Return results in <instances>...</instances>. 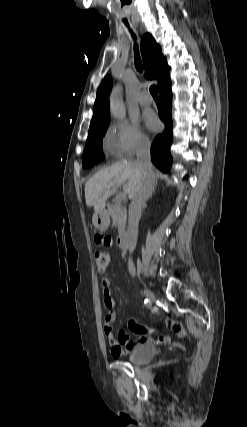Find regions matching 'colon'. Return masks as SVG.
<instances>
[{
  "instance_id": "colon-1",
  "label": "colon",
  "mask_w": 247,
  "mask_h": 427,
  "mask_svg": "<svg viewBox=\"0 0 247 427\" xmlns=\"http://www.w3.org/2000/svg\"><path fill=\"white\" fill-rule=\"evenodd\" d=\"M94 263L99 272H104L110 264V256L105 251H97L94 254Z\"/></svg>"
}]
</instances>
